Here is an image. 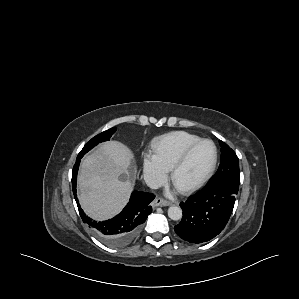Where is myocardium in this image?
<instances>
[{
  "mask_svg": "<svg viewBox=\"0 0 299 299\" xmlns=\"http://www.w3.org/2000/svg\"><path fill=\"white\" fill-rule=\"evenodd\" d=\"M204 143H210L214 148V160H213V163H212L209 171L206 173V175L204 177H202L197 182H195L189 186H186V187H178L176 185V176H177L178 172L185 166V164L189 160L192 153L200 145H202ZM218 158H219L218 148L212 140L201 139V140L197 141L196 143L192 144L190 147H188L185 150V152L181 155V157L177 160V162L172 167L171 172H170V179H171L173 185L182 193H191L193 191H196L197 189L201 188L203 185H205L211 179V177L213 176V174L217 168Z\"/></svg>",
  "mask_w": 299,
  "mask_h": 299,
  "instance_id": "obj_1",
  "label": "myocardium"
}]
</instances>
